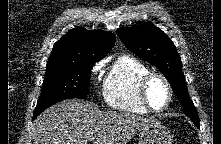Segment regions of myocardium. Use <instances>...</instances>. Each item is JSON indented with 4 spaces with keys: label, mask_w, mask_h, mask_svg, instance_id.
<instances>
[{
    "label": "myocardium",
    "mask_w": 221,
    "mask_h": 144,
    "mask_svg": "<svg viewBox=\"0 0 221 144\" xmlns=\"http://www.w3.org/2000/svg\"><path fill=\"white\" fill-rule=\"evenodd\" d=\"M153 78L161 79L163 81V83L165 84L167 91H168L167 103L161 109L153 108L149 102V99H148V94H147L148 85ZM138 95H139V99H140L142 105L149 112L161 113V112H164L165 110H167L169 108V106L171 105V102L173 99V88H172L168 78L164 74H162L161 72H157V71H148L140 78V80L138 82Z\"/></svg>",
    "instance_id": "myocardium-1"
}]
</instances>
